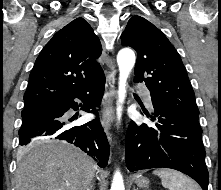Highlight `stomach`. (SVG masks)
Returning a JSON list of instances; mask_svg holds the SVG:
<instances>
[{
  "mask_svg": "<svg viewBox=\"0 0 221 190\" xmlns=\"http://www.w3.org/2000/svg\"><path fill=\"white\" fill-rule=\"evenodd\" d=\"M135 183L139 187H147L149 185V180L145 177L138 176L135 178Z\"/></svg>",
  "mask_w": 221,
  "mask_h": 190,
  "instance_id": "0dacf381",
  "label": "stomach"
}]
</instances>
